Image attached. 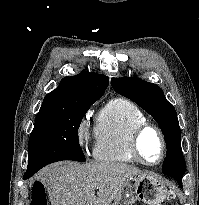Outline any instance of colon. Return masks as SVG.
<instances>
[{
    "label": "colon",
    "mask_w": 199,
    "mask_h": 205,
    "mask_svg": "<svg viewBox=\"0 0 199 205\" xmlns=\"http://www.w3.org/2000/svg\"><path fill=\"white\" fill-rule=\"evenodd\" d=\"M31 205H47L46 195L44 191H36Z\"/></svg>",
    "instance_id": "1"
}]
</instances>
